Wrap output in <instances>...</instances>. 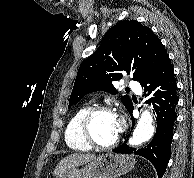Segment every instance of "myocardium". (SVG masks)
I'll use <instances>...</instances> for the list:
<instances>
[{"mask_svg":"<svg viewBox=\"0 0 194 178\" xmlns=\"http://www.w3.org/2000/svg\"><path fill=\"white\" fill-rule=\"evenodd\" d=\"M100 113H110L116 116L115 111L109 106L97 105L90 107L86 113L83 115L80 124L79 132L81 138L91 147L99 149H110L116 146L120 140V135L118 134L111 142L102 144L97 142L91 133V123L94 117Z\"/></svg>","mask_w":194,"mask_h":178,"instance_id":"1","label":"myocardium"}]
</instances>
